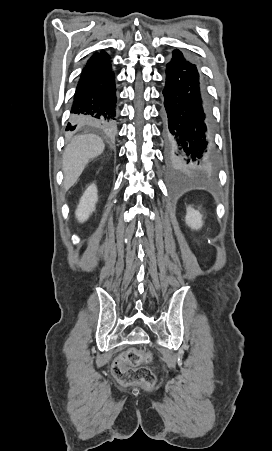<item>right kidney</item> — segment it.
<instances>
[{
  "instance_id": "1",
  "label": "right kidney",
  "mask_w": 272,
  "mask_h": 451,
  "mask_svg": "<svg viewBox=\"0 0 272 451\" xmlns=\"http://www.w3.org/2000/svg\"><path fill=\"white\" fill-rule=\"evenodd\" d=\"M96 202H98L97 186L91 184V186H88L87 190H85L75 212V216L79 222H86L92 212H95Z\"/></svg>"
}]
</instances>
